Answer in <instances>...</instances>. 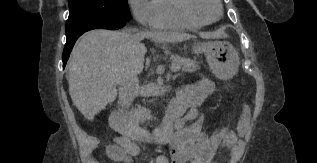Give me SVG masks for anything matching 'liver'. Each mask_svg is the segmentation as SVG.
Segmentation results:
<instances>
[{"label": "liver", "mask_w": 317, "mask_h": 163, "mask_svg": "<svg viewBox=\"0 0 317 163\" xmlns=\"http://www.w3.org/2000/svg\"><path fill=\"white\" fill-rule=\"evenodd\" d=\"M178 43L193 38L186 33L111 31L85 33L74 46L67 65L69 93L83 116L92 121L117 97V86L128 76L137 77L147 52L143 39Z\"/></svg>", "instance_id": "6515ba94"}]
</instances>
